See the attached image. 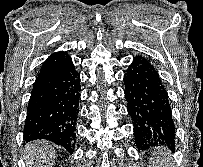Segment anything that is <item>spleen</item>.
<instances>
[{
    "label": "spleen",
    "mask_w": 203,
    "mask_h": 167,
    "mask_svg": "<svg viewBox=\"0 0 203 167\" xmlns=\"http://www.w3.org/2000/svg\"><path fill=\"white\" fill-rule=\"evenodd\" d=\"M153 162L155 167H169L168 152L165 149L157 150L153 155Z\"/></svg>",
    "instance_id": "1"
}]
</instances>
